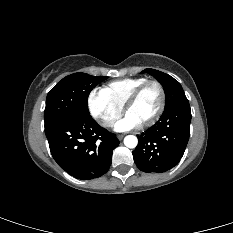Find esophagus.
Instances as JSON below:
<instances>
[{
	"mask_svg": "<svg viewBox=\"0 0 233 233\" xmlns=\"http://www.w3.org/2000/svg\"><path fill=\"white\" fill-rule=\"evenodd\" d=\"M123 137H124V135H123V134H119V135H117V138H118L119 140H122V139H123Z\"/></svg>",
	"mask_w": 233,
	"mask_h": 233,
	"instance_id": "1",
	"label": "esophagus"
}]
</instances>
